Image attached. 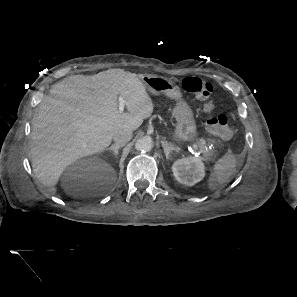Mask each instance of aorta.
I'll list each match as a JSON object with an SVG mask.
<instances>
[{
    "label": "aorta",
    "mask_w": 297,
    "mask_h": 297,
    "mask_svg": "<svg viewBox=\"0 0 297 297\" xmlns=\"http://www.w3.org/2000/svg\"><path fill=\"white\" fill-rule=\"evenodd\" d=\"M153 148V141L150 137H143L136 141L135 149L140 152H147Z\"/></svg>",
    "instance_id": "obj_1"
}]
</instances>
